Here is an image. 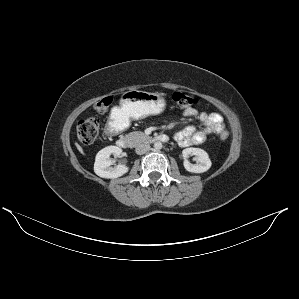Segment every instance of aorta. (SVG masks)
Returning <instances> with one entry per match:
<instances>
[{
	"mask_svg": "<svg viewBox=\"0 0 299 299\" xmlns=\"http://www.w3.org/2000/svg\"><path fill=\"white\" fill-rule=\"evenodd\" d=\"M154 149L155 150H160L162 149V143L160 141H157L154 143Z\"/></svg>",
	"mask_w": 299,
	"mask_h": 299,
	"instance_id": "1",
	"label": "aorta"
}]
</instances>
